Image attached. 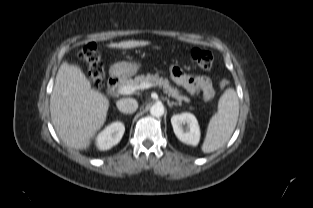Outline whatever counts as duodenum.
<instances>
[{
  "label": "duodenum",
  "instance_id": "duodenum-1",
  "mask_svg": "<svg viewBox=\"0 0 313 208\" xmlns=\"http://www.w3.org/2000/svg\"><path fill=\"white\" fill-rule=\"evenodd\" d=\"M118 83H119V75L116 73L115 70H113L107 82V87H106L107 92L110 94L114 93L118 86Z\"/></svg>",
  "mask_w": 313,
  "mask_h": 208
}]
</instances>
